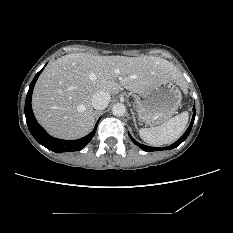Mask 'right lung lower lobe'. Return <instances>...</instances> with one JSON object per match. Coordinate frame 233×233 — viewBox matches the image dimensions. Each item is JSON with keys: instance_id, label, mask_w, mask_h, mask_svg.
<instances>
[{"instance_id": "right-lung-lower-lobe-1", "label": "right lung lower lobe", "mask_w": 233, "mask_h": 233, "mask_svg": "<svg viewBox=\"0 0 233 233\" xmlns=\"http://www.w3.org/2000/svg\"><path fill=\"white\" fill-rule=\"evenodd\" d=\"M43 69H41L36 74V76L34 77L33 81L29 86V91L27 93V97L25 101V116H26V122L28 128L32 136L36 139L38 143H40L41 145H43L44 147H46L47 149L53 152L61 153V152L79 151L83 149L91 141L92 137L95 135V131L99 121L96 123V126L91 133L78 140H61L47 134L46 131L38 124L33 114L32 106H31L33 88Z\"/></svg>"}]
</instances>
